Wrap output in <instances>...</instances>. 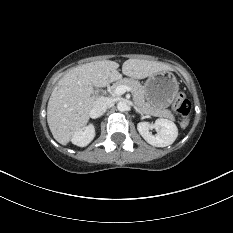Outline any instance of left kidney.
<instances>
[{"mask_svg":"<svg viewBox=\"0 0 233 233\" xmlns=\"http://www.w3.org/2000/svg\"><path fill=\"white\" fill-rule=\"evenodd\" d=\"M155 125L160 127L157 135H152L150 124L148 122H140L137 124V129L140 135L149 144L155 147H166L171 145L178 136V129L174 122L167 119H157Z\"/></svg>","mask_w":233,"mask_h":233,"instance_id":"left-kidney-1","label":"left kidney"}]
</instances>
